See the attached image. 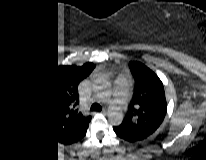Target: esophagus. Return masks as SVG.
<instances>
[{
    "mask_svg": "<svg viewBox=\"0 0 206 160\" xmlns=\"http://www.w3.org/2000/svg\"><path fill=\"white\" fill-rule=\"evenodd\" d=\"M106 113H107V109H106V108H103L102 114H103V115H106Z\"/></svg>",
    "mask_w": 206,
    "mask_h": 160,
    "instance_id": "1",
    "label": "esophagus"
}]
</instances>
